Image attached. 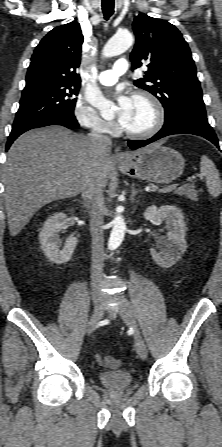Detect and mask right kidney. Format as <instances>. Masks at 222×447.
<instances>
[{
  "label": "right kidney",
  "mask_w": 222,
  "mask_h": 447,
  "mask_svg": "<svg viewBox=\"0 0 222 447\" xmlns=\"http://www.w3.org/2000/svg\"><path fill=\"white\" fill-rule=\"evenodd\" d=\"M67 220L65 213H55L45 221L39 233L41 249L47 258L55 264H63L70 261L78 242L76 237L71 236L66 239L64 248L60 249L58 234L67 228Z\"/></svg>",
  "instance_id": "right-kidney-1"
}]
</instances>
